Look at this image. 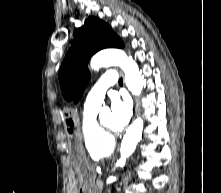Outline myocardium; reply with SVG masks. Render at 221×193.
I'll list each match as a JSON object with an SVG mask.
<instances>
[{"label":"myocardium","instance_id":"obj_1","mask_svg":"<svg viewBox=\"0 0 221 193\" xmlns=\"http://www.w3.org/2000/svg\"><path fill=\"white\" fill-rule=\"evenodd\" d=\"M98 125H99V128H100L101 132H102L105 136H107V137H109V138H112L110 135L115 134V130L106 127V126L102 123V121H99V122H98Z\"/></svg>","mask_w":221,"mask_h":193}]
</instances>
